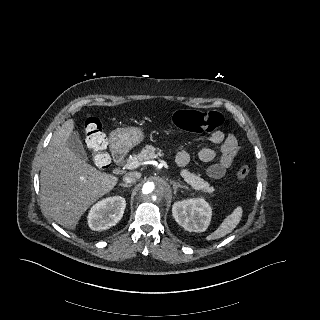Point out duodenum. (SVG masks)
Returning <instances> with one entry per match:
<instances>
[{
    "label": "duodenum",
    "instance_id": "1",
    "mask_svg": "<svg viewBox=\"0 0 320 320\" xmlns=\"http://www.w3.org/2000/svg\"><path fill=\"white\" fill-rule=\"evenodd\" d=\"M112 150H113L114 161L116 163L123 162V160L125 158V150L123 149V147L121 145H119L118 143H114L112 146Z\"/></svg>",
    "mask_w": 320,
    "mask_h": 320
}]
</instances>
